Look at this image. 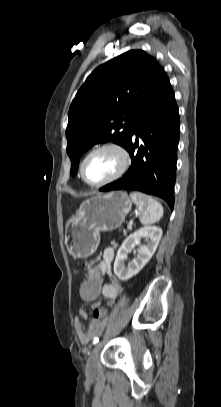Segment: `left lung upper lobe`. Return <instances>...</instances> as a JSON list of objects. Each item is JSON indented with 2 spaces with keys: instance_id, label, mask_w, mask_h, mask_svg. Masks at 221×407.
Masks as SVG:
<instances>
[{
  "instance_id": "left-lung-upper-lobe-1",
  "label": "left lung upper lobe",
  "mask_w": 221,
  "mask_h": 407,
  "mask_svg": "<svg viewBox=\"0 0 221 407\" xmlns=\"http://www.w3.org/2000/svg\"><path fill=\"white\" fill-rule=\"evenodd\" d=\"M165 76L155 58L142 50H131L87 77L68 113L70 175L76 174L79 158L94 144L112 141L127 146L139 113Z\"/></svg>"
}]
</instances>
